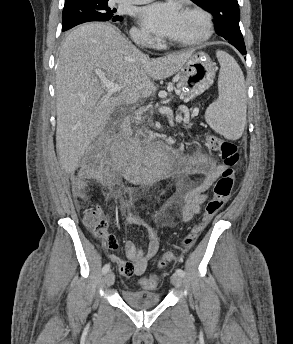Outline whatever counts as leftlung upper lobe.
I'll return each instance as SVG.
<instances>
[{
  "mask_svg": "<svg viewBox=\"0 0 293 344\" xmlns=\"http://www.w3.org/2000/svg\"><path fill=\"white\" fill-rule=\"evenodd\" d=\"M214 16L218 35L232 45H244L239 27L240 10L237 0H191Z\"/></svg>",
  "mask_w": 293,
  "mask_h": 344,
  "instance_id": "left-lung-upper-lobe-1",
  "label": "left lung upper lobe"
}]
</instances>
